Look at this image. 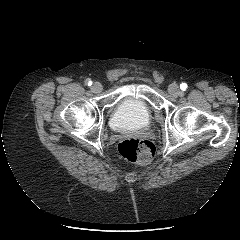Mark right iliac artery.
Returning a JSON list of instances; mask_svg holds the SVG:
<instances>
[{
	"label": "right iliac artery",
	"instance_id": "obj_1",
	"mask_svg": "<svg viewBox=\"0 0 240 240\" xmlns=\"http://www.w3.org/2000/svg\"><path fill=\"white\" fill-rule=\"evenodd\" d=\"M85 85L91 86L92 85V81L90 79H86Z\"/></svg>",
	"mask_w": 240,
	"mask_h": 240
}]
</instances>
